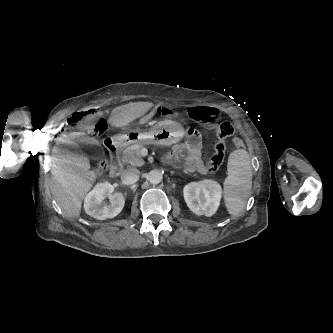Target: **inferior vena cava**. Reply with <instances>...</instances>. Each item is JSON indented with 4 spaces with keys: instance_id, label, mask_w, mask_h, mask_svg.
Segmentation results:
<instances>
[{
    "instance_id": "602c4592",
    "label": "inferior vena cava",
    "mask_w": 333,
    "mask_h": 333,
    "mask_svg": "<svg viewBox=\"0 0 333 333\" xmlns=\"http://www.w3.org/2000/svg\"><path fill=\"white\" fill-rule=\"evenodd\" d=\"M140 171L136 168H128L123 171L121 180L125 185L134 184L139 180Z\"/></svg>"
}]
</instances>
